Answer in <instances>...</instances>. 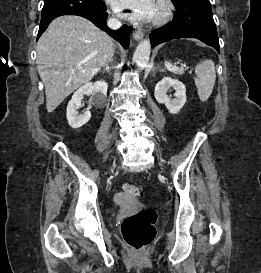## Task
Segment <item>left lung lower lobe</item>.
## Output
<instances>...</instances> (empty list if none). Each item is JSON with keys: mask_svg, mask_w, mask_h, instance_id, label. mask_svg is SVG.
Here are the masks:
<instances>
[{"mask_svg": "<svg viewBox=\"0 0 261 273\" xmlns=\"http://www.w3.org/2000/svg\"><path fill=\"white\" fill-rule=\"evenodd\" d=\"M173 21L150 34L152 47L176 38H197L219 53V40L209 0L173 2Z\"/></svg>", "mask_w": 261, "mask_h": 273, "instance_id": "0a47b994", "label": "left lung lower lobe"}]
</instances>
